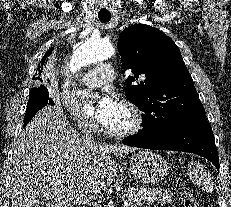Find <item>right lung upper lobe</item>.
Instances as JSON below:
<instances>
[{"instance_id":"right-lung-upper-lobe-1","label":"right lung upper lobe","mask_w":231,"mask_h":207,"mask_svg":"<svg viewBox=\"0 0 231 207\" xmlns=\"http://www.w3.org/2000/svg\"><path fill=\"white\" fill-rule=\"evenodd\" d=\"M52 51H53V48H50V49L45 53V55L43 56V58H42L40 64L38 65L37 70H36V75H37V76H36V77L34 76V78H35L36 80H37V79H38V80L40 79V77H39L38 75L41 74V72H42V70H43V66H44V64L47 63V61H48V56L51 55Z\"/></svg>"}]
</instances>
